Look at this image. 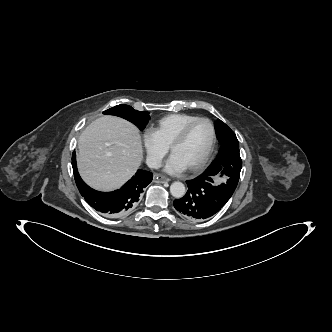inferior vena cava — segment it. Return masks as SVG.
<instances>
[{
  "label": "inferior vena cava",
  "mask_w": 332,
  "mask_h": 332,
  "mask_svg": "<svg viewBox=\"0 0 332 332\" xmlns=\"http://www.w3.org/2000/svg\"><path fill=\"white\" fill-rule=\"evenodd\" d=\"M147 165L150 168L158 169L161 167V161L155 157L147 158Z\"/></svg>",
  "instance_id": "inferior-vena-cava-1"
}]
</instances>
